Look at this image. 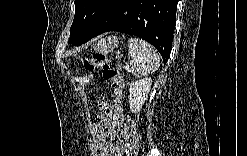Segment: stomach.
<instances>
[{
  "mask_svg": "<svg viewBox=\"0 0 247 156\" xmlns=\"http://www.w3.org/2000/svg\"><path fill=\"white\" fill-rule=\"evenodd\" d=\"M118 45V38L114 35L100 39L93 45V49L97 52L108 53Z\"/></svg>",
  "mask_w": 247,
  "mask_h": 156,
  "instance_id": "stomach-1",
  "label": "stomach"
}]
</instances>
